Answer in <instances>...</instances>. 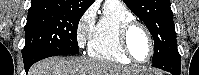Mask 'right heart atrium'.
<instances>
[{
  "mask_svg": "<svg viewBox=\"0 0 199 75\" xmlns=\"http://www.w3.org/2000/svg\"><path fill=\"white\" fill-rule=\"evenodd\" d=\"M94 27L95 12L93 9H89L82 15L76 28V38L80 48H83L89 41Z\"/></svg>",
  "mask_w": 199,
  "mask_h": 75,
  "instance_id": "obj_1",
  "label": "right heart atrium"
}]
</instances>
